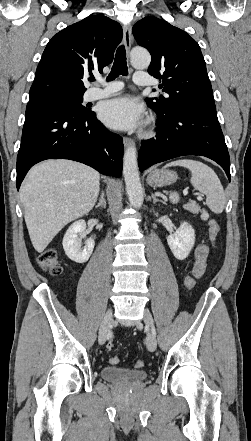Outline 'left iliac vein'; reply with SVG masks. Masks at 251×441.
<instances>
[{
  "instance_id": "1",
  "label": "left iliac vein",
  "mask_w": 251,
  "mask_h": 441,
  "mask_svg": "<svg viewBox=\"0 0 251 441\" xmlns=\"http://www.w3.org/2000/svg\"><path fill=\"white\" fill-rule=\"evenodd\" d=\"M143 321L150 330H153V328H154L153 317L148 310L144 311ZM137 327H140L139 323L137 324ZM146 346H147L148 350L151 352H154L156 350L157 341H156V338H155V335L153 334V332L149 333V335L146 339Z\"/></svg>"
}]
</instances>
